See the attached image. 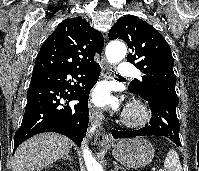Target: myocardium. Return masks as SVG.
Listing matches in <instances>:
<instances>
[{
  "label": "myocardium",
  "instance_id": "1",
  "mask_svg": "<svg viewBox=\"0 0 199 171\" xmlns=\"http://www.w3.org/2000/svg\"><path fill=\"white\" fill-rule=\"evenodd\" d=\"M150 116V109L146 104L133 101L125 110L123 122L128 127H140L149 121Z\"/></svg>",
  "mask_w": 199,
  "mask_h": 171
}]
</instances>
